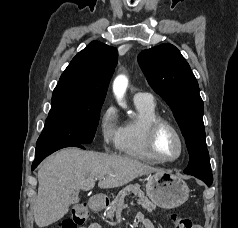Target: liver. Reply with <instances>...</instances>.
<instances>
[{
	"mask_svg": "<svg viewBox=\"0 0 238 228\" xmlns=\"http://www.w3.org/2000/svg\"><path fill=\"white\" fill-rule=\"evenodd\" d=\"M154 172L162 170L131 157L63 149L45 159L39 168L35 223L42 228L63 218L77 201L79 191L92 189L96 178H101L100 188H115Z\"/></svg>",
	"mask_w": 238,
	"mask_h": 228,
	"instance_id": "liver-1",
	"label": "liver"
}]
</instances>
